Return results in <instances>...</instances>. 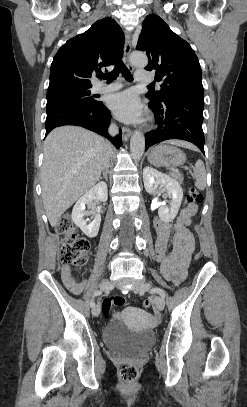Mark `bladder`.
Returning <instances> with one entry per match:
<instances>
[{"label": "bladder", "instance_id": "1", "mask_svg": "<svg viewBox=\"0 0 247 407\" xmlns=\"http://www.w3.org/2000/svg\"><path fill=\"white\" fill-rule=\"evenodd\" d=\"M102 337L110 350L128 356L141 355L155 343L152 330L132 329L120 317H115L104 326Z\"/></svg>", "mask_w": 247, "mask_h": 407}]
</instances>
